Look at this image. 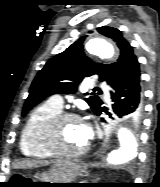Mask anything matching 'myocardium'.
Listing matches in <instances>:
<instances>
[{
  "instance_id": "myocardium-1",
  "label": "myocardium",
  "mask_w": 160,
  "mask_h": 187,
  "mask_svg": "<svg viewBox=\"0 0 160 187\" xmlns=\"http://www.w3.org/2000/svg\"><path fill=\"white\" fill-rule=\"evenodd\" d=\"M67 120H79L82 118L74 112L61 111L52 117L47 123L44 130V144L46 148L55 156L63 158H74L84 155L90 146L87 142L84 147L77 151H67L61 146V128L65 121Z\"/></svg>"
}]
</instances>
